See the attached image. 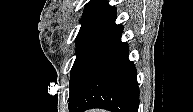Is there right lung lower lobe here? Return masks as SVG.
Listing matches in <instances>:
<instances>
[{
  "label": "right lung lower lobe",
  "mask_w": 193,
  "mask_h": 112,
  "mask_svg": "<svg viewBox=\"0 0 193 112\" xmlns=\"http://www.w3.org/2000/svg\"><path fill=\"white\" fill-rule=\"evenodd\" d=\"M121 34L117 33L84 68L70 91L69 112L92 108L138 112L137 73Z\"/></svg>",
  "instance_id": "right-lung-lower-lobe-1"
}]
</instances>
